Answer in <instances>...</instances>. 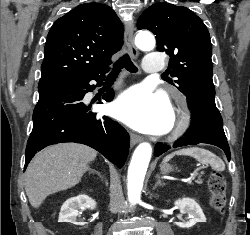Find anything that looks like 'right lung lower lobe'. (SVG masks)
Wrapping results in <instances>:
<instances>
[{"label":"right lung lower lobe","mask_w":250,"mask_h":235,"mask_svg":"<svg viewBox=\"0 0 250 235\" xmlns=\"http://www.w3.org/2000/svg\"><path fill=\"white\" fill-rule=\"evenodd\" d=\"M107 71L39 88V101L33 112V130L27 142L24 169L38 151L63 142L88 145L119 168L124 165L129 149L128 134L111 118L99 117L89 111L90 106L83 102L84 95L95 88L89 82L95 80L101 84ZM113 96V90H109L103 99L110 102Z\"/></svg>","instance_id":"98d812e1"}]
</instances>
